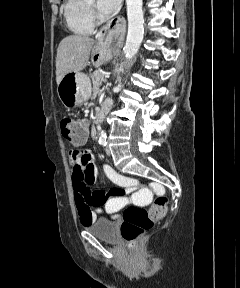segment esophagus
I'll return each mask as SVG.
<instances>
[{"instance_id": "obj_1", "label": "esophagus", "mask_w": 240, "mask_h": 288, "mask_svg": "<svg viewBox=\"0 0 240 288\" xmlns=\"http://www.w3.org/2000/svg\"><path fill=\"white\" fill-rule=\"evenodd\" d=\"M123 26V19L117 17L110 21L104 28L100 30L97 35V38L100 42H111V38L114 35H117ZM107 36V37H106Z\"/></svg>"}]
</instances>
